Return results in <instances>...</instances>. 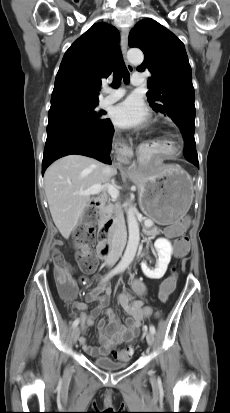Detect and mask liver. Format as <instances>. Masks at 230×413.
<instances>
[{
  "mask_svg": "<svg viewBox=\"0 0 230 413\" xmlns=\"http://www.w3.org/2000/svg\"><path fill=\"white\" fill-rule=\"evenodd\" d=\"M104 167L96 159L71 154L46 170L44 186L49 209L54 224L65 239L69 238L91 202L90 196L77 193L110 180V176L103 174Z\"/></svg>",
  "mask_w": 230,
  "mask_h": 413,
  "instance_id": "1",
  "label": "liver"
}]
</instances>
